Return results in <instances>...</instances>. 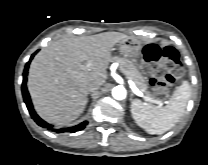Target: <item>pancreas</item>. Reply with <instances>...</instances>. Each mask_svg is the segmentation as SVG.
Here are the masks:
<instances>
[{"label": "pancreas", "mask_w": 208, "mask_h": 165, "mask_svg": "<svg viewBox=\"0 0 208 165\" xmlns=\"http://www.w3.org/2000/svg\"><path fill=\"white\" fill-rule=\"evenodd\" d=\"M114 61L119 63V68L121 72L128 78L131 79L135 86L143 92L146 96L154 99V96L147 90L148 86L146 84V78L139 72L137 67L130 61L124 58H114Z\"/></svg>", "instance_id": "pancreas-1"}]
</instances>
